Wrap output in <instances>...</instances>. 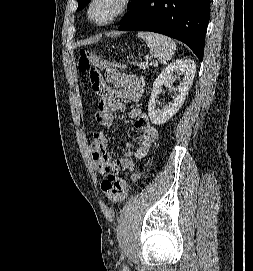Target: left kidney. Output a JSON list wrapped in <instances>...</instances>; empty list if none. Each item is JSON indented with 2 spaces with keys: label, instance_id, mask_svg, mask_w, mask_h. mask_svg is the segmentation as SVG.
<instances>
[{
  "label": "left kidney",
  "instance_id": "left-kidney-1",
  "mask_svg": "<svg viewBox=\"0 0 253 271\" xmlns=\"http://www.w3.org/2000/svg\"><path fill=\"white\" fill-rule=\"evenodd\" d=\"M174 73L184 76L181 84L177 87L178 94L172 103L160 110L156 108V100L159 90L164 84H172L174 81ZM196 73V64L191 59H179L168 65L153 83V90L148 103V115L151 122L155 125L164 124L174 114L178 112L183 105L188 91L193 83Z\"/></svg>",
  "mask_w": 253,
  "mask_h": 271
}]
</instances>
